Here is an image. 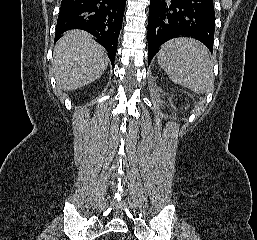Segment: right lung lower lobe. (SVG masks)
Listing matches in <instances>:
<instances>
[{"label":"right lung lower lobe","instance_id":"right-lung-lower-lobe-1","mask_svg":"<svg viewBox=\"0 0 257 240\" xmlns=\"http://www.w3.org/2000/svg\"><path fill=\"white\" fill-rule=\"evenodd\" d=\"M125 4L126 0H62L55 42L65 31H87L107 50L114 66Z\"/></svg>","mask_w":257,"mask_h":240}]
</instances>
